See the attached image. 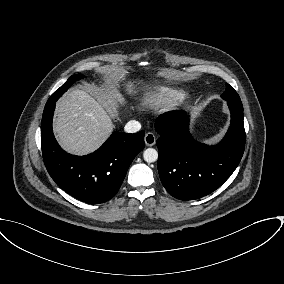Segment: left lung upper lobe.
Here are the masks:
<instances>
[{"label": "left lung upper lobe", "instance_id": "1", "mask_svg": "<svg viewBox=\"0 0 284 284\" xmlns=\"http://www.w3.org/2000/svg\"><path fill=\"white\" fill-rule=\"evenodd\" d=\"M221 97L226 101L242 104L239 95L229 84H226V90Z\"/></svg>", "mask_w": 284, "mask_h": 284}]
</instances>
